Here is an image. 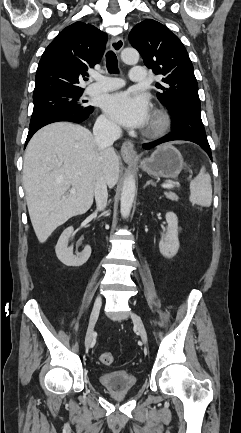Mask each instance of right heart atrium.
Wrapping results in <instances>:
<instances>
[{
	"label": "right heart atrium",
	"mask_w": 241,
	"mask_h": 433,
	"mask_svg": "<svg viewBox=\"0 0 241 433\" xmlns=\"http://www.w3.org/2000/svg\"><path fill=\"white\" fill-rule=\"evenodd\" d=\"M97 127L100 131L105 133H115L117 131L116 125L104 116L98 119Z\"/></svg>",
	"instance_id": "obj_1"
}]
</instances>
